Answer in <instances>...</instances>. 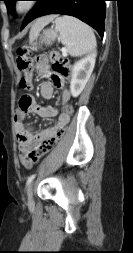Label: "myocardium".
Returning a JSON list of instances; mask_svg holds the SVG:
<instances>
[{
	"mask_svg": "<svg viewBox=\"0 0 133 253\" xmlns=\"http://www.w3.org/2000/svg\"><path fill=\"white\" fill-rule=\"evenodd\" d=\"M36 6L33 0H19L14 3L13 10L19 17L25 16L30 13Z\"/></svg>",
	"mask_w": 133,
	"mask_h": 253,
	"instance_id": "1",
	"label": "myocardium"
}]
</instances>
